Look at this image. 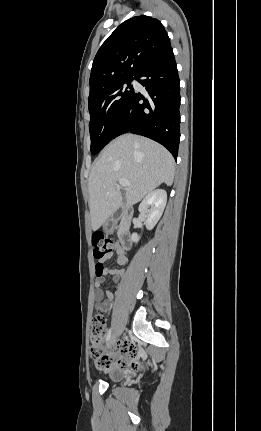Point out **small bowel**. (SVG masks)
<instances>
[{
  "instance_id": "1",
  "label": "small bowel",
  "mask_w": 261,
  "mask_h": 431,
  "mask_svg": "<svg viewBox=\"0 0 261 431\" xmlns=\"http://www.w3.org/2000/svg\"><path fill=\"white\" fill-rule=\"evenodd\" d=\"M113 253H115L117 255V263L118 264L123 265L127 262V260H128L127 255L118 243L113 245L112 252L107 256V258H110ZM123 273H124L123 270H120V269H110V268L104 267L103 273L99 276L96 275L97 276L96 280H95L96 309L98 311H100L101 313H104V316H107V313L110 311L111 304H112V301L114 299V292H112L110 290L104 292L101 289V285L103 283L104 276L113 275V276H115L116 279H119L123 275ZM120 345H118L116 347V349ZM116 349L114 350L112 357H115L114 354L116 353Z\"/></svg>"
}]
</instances>
